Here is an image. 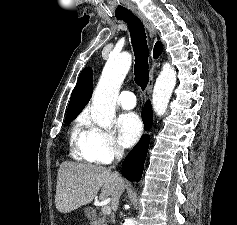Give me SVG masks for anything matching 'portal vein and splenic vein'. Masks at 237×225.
I'll return each instance as SVG.
<instances>
[{"mask_svg":"<svg viewBox=\"0 0 237 225\" xmlns=\"http://www.w3.org/2000/svg\"><path fill=\"white\" fill-rule=\"evenodd\" d=\"M101 211L103 214L110 215L111 214V207L110 206H102Z\"/></svg>","mask_w":237,"mask_h":225,"instance_id":"18ae733b","label":"portal vein and splenic vein"}]
</instances>
